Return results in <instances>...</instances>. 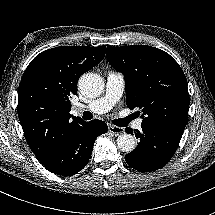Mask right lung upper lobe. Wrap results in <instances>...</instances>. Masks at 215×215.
Masks as SVG:
<instances>
[{"instance_id":"right-lung-upper-lobe-1","label":"right lung upper lobe","mask_w":215,"mask_h":215,"mask_svg":"<svg viewBox=\"0 0 215 215\" xmlns=\"http://www.w3.org/2000/svg\"><path fill=\"white\" fill-rule=\"evenodd\" d=\"M105 56V46H60L43 51L26 68L18 89V116L27 143L44 163L80 117L71 120L69 97L78 79Z\"/></svg>"}]
</instances>
